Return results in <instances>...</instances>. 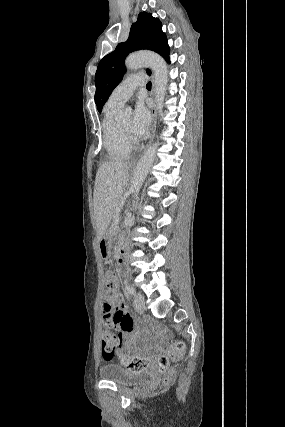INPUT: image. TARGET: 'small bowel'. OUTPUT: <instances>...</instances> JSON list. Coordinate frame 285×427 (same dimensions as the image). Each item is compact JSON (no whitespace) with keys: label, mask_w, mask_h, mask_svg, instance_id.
Listing matches in <instances>:
<instances>
[{"label":"small bowel","mask_w":285,"mask_h":427,"mask_svg":"<svg viewBox=\"0 0 285 427\" xmlns=\"http://www.w3.org/2000/svg\"><path fill=\"white\" fill-rule=\"evenodd\" d=\"M103 314V325L110 328L113 324L118 323L124 331V340L130 341L133 338L131 329V320L125 311V305L120 300L117 289L114 288L113 296L110 300H104L101 304Z\"/></svg>","instance_id":"small-bowel-1"}]
</instances>
